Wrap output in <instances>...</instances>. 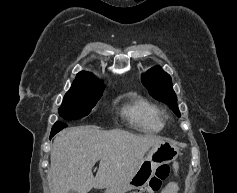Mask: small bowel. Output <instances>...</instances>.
I'll return each mask as SVG.
<instances>
[{
    "mask_svg": "<svg viewBox=\"0 0 237 193\" xmlns=\"http://www.w3.org/2000/svg\"><path fill=\"white\" fill-rule=\"evenodd\" d=\"M181 189V183L178 179L169 182L161 193H179Z\"/></svg>",
    "mask_w": 237,
    "mask_h": 193,
    "instance_id": "1",
    "label": "small bowel"
}]
</instances>
